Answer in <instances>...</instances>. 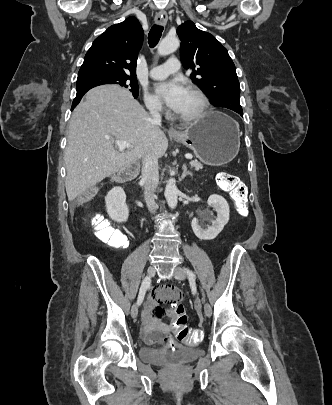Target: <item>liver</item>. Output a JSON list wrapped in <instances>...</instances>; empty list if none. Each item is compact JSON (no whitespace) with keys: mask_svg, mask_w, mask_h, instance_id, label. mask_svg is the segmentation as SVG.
I'll list each match as a JSON object with an SVG mask.
<instances>
[{"mask_svg":"<svg viewBox=\"0 0 332 405\" xmlns=\"http://www.w3.org/2000/svg\"><path fill=\"white\" fill-rule=\"evenodd\" d=\"M116 140L131 144L118 151ZM168 140L132 94L117 86L89 90L74 110L65 149L69 201L147 153L164 156Z\"/></svg>","mask_w":332,"mask_h":405,"instance_id":"obj_1","label":"liver"}]
</instances>
